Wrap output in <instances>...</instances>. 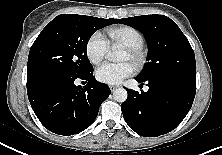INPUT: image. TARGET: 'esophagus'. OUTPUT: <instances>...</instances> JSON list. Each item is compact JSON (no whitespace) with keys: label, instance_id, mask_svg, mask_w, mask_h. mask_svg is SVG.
Wrapping results in <instances>:
<instances>
[{"label":"esophagus","instance_id":"1","mask_svg":"<svg viewBox=\"0 0 222 155\" xmlns=\"http://www.w3.org/2000/svg\"><path fill=\"white\" fill-rule=\"evenodd\" d=\"M109 88L113 92L115 89L118 88V86L117 85H110Z\"/></svg>","mask_w":222,"mask_h":155}]
</instances>
